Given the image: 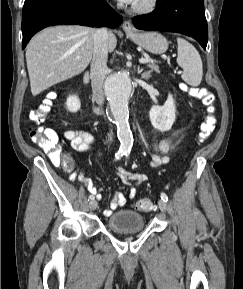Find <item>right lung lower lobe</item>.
<instances>
[{
	"label": "right lung lower lobe",
	"mask_w": 243,
	"mask_h": 289,
	"mask_svg": "<svg viewBox=\"0 0 243 289\" xmlns=\"http://www.w3.org/2000/svg\"><path fill=\"white\" fill-rule=\"evenodd\" d=\"M122 17L106 0H25L22 13V48L41 29L55 24L117 27Z\"/></svg>",
	"instance_id": "98d812e1"
}]
</instances>
